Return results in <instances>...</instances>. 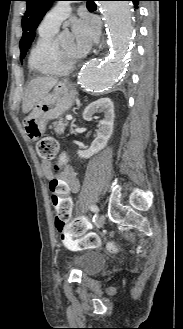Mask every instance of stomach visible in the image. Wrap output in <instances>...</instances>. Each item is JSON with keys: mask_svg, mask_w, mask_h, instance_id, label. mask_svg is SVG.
<instances>
[{"mask_svg": "<svg viewBox=\"0 0 183 329\" xmlns=\"http://www.w3.org/2000/svg\"><path fill=\"white\" fill-rule=\"evenodd\" d=\"M76 92L67 83H58L52 93L45 95L24 119L23 127L31 141L39 140L50 120L66 113L74 104Z\"/></svg>", "mask_w": 183, "mask_h": 329, "instance_id": "stomach-1", "label": "stomach"}]
</instances>
